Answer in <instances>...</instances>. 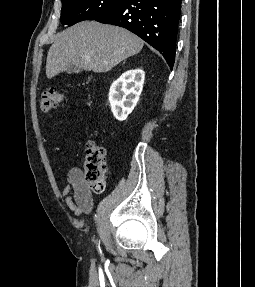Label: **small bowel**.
Instances as JSON below:
<instances>
[{"label": "small bowel", "mask_w": 255, "mask_h": 287, "mask_svg": "<svg viewBox=\"0 0 255 287\" xmlns=\"http://www.w3.org/2000/svg\"><path fill=\"white\" fill-rule=\"evenodd\" d=\"M62 196L74 215L81 216L91 211L93 204L92 194L80 168L74 167L69 170L67 185L62 191Z\"/></svg>", "instance_id": "c3829d8e"}]
</instances>
